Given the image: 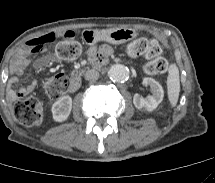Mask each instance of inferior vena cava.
I'll return each instance as SVG.
<instances>
[{
	"label": "inferior vena cava",
	"mask_w": 215,
	"mask_h": 183,
	"mask_svg": "<svg viewBox=\"0 0 215 183\" xmlns=\"http://www.w3.org/2000/svg\"><path fill=\"white\" fill-rule=\"evenodd\" d=\"M84 77L86 80H96L99 77V73L96 70L91 69L85 72Z\"/></svg>",
	"instance_id": "inferior-vena-cava-1"
}]
</instances>
